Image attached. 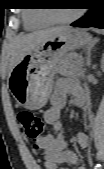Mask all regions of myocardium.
<instances>
[{
    "label": "myocardium",
    "instance_id": "1",
    "mask_svg": "<svg viewBox=\"0 0 104 169\" xmlns=\"http://www.w3.org/2000/svg\"><path fill=\"white\" fill-rule=\"evenodd\" d=\"M81 15V12L77 11L73 15L66 17V18H57L51 14H46L44 17L49 20L51 23H71L78 19Z\"/></svg>",
    "mask_w": 104,
    "mask_h": 169
}]
</instances>
